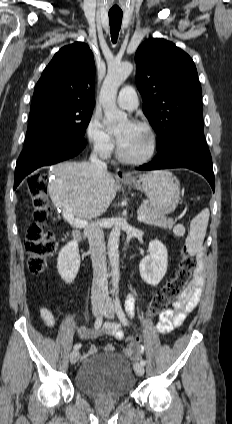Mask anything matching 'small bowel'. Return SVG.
Wrapping results in <instances>:
<instances>
[{
  "label": "small bowel",
  "instance_id": "obj_1",
  "mask_svg": "<svg viewBox=\"0 0 232 424\" xmlns=\"http://www.w3.org/2000/svg\"><path fill=\"white\" fill-rule=\"evenodd\" d=\"M203 282H204V277H203L202 257L199 256V263H198L197 270L188 288L174 303L173 309H166L159 315V323L157 325V329L160 333H168L180 327L183 324L187 314L196 307L199 301ZM134 302H135L134 296L128 295L126 299V304L134 305ZM41 316L48 327H51V328L54 327L55 319L49 309L42 308ZM75 330L78 336L84 340H93L104 335L112 336L116 339H122L124 337L122 328L120 327L118 323H115V322H107L99 329L75 327ZM115 350H116V347L113 344H107L105 346L106 352H114ZM97 352L98 350L96 346L94 345L90 346L88 350L89 355H94ZM123 353L127 355L129 358H131L132 360H138L142 353V347L139 343H136V342H134L131 346L127 344L123 350Z\"/></svg>",
  "mask_w": 232,
  "mask_h": 424
}]
</instances>
